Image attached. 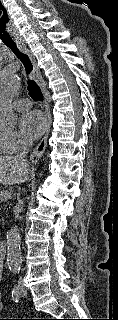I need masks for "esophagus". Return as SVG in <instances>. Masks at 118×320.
<instances>
[{
  "label": "esophagus",
  "instance_id": "obj_1",
  "mask_svg": "<svg viewBox=\"0 0 118 320\" xmlns=\"http://www.w3.org/2000/svg\"><path fill=\"white\" fill-rule=\"evenodd\" d=\"M23 49L25 51V53L29 56L32 65H33V77L36 80V82L38 83V85L41 87V89L43 90V92L45 93L46 91V84L42 78L40 69L37 65V61L35 56L33 55V53L26 47L23 46ZM45 103L47 104V98L45 96ZM50 127H51V114L50 111L48 109V107L46 108V132L44 137L42 138V140L40 141V143L34 148V150L32 151L31 155H30V161L32 163H36L41 156L43 155L46 147H47V140H48V136L50 133Z\"/></svg>",
  "mask_w": 118,
  "mask_h": 320
}]
</instances>
